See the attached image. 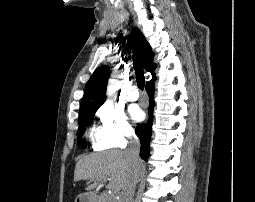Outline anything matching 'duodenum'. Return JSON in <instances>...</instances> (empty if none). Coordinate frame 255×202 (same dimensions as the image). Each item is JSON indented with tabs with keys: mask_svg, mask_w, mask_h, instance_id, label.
<instances>
[{
	"mask_svg": "<svg viewBox=\"0 0 255 202\" xmlns=\"http://www.w3.org/2000/svg\"><path fill=\"white\" fill-rule=\"evenodd\" d=\"M85 202H90V200H89V199H86Z\"/></svg>",
	"mask_w": 255,
	"mask_h": 202,
	"instance_id": "obj_1",
	"label": "duodenum"
}]
</instances>
